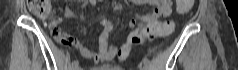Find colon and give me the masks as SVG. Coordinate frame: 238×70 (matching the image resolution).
Instances as JSON below:
<instances>
[{
  "label": "colon",
  "mask_w": 238,
  "mask_h": 70,
  "mask_svg": "<svg viewBox=\"0 0 238 70\" xmlns=\"http://www.w3.org/2000/svg\"><path fill=\"white\" fill-rule=\"evenodd\" d=\"M194 0H176L175 12L186 13L190 11ZM28 7L30 11L39 18H47L52 11L50 0H29ZM172 30V23L164 21H157V19H144V25L129 33L125 42L120 45V59H127V50L132 45L138 44L145 38L161 37L170 33ZM54 32L59 34V29H54Z\"/></svg>",
  "instance_id": "colon-1"
}]
</instances>
